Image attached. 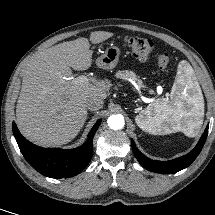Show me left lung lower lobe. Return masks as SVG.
Segmentation results:
<instances>
[{"instance_id": "obj_1", "label": "left lung lower lobe", "mask_w": 215, "mask_h": 215, "mask_svg": "<svg viewBox=\"0 0 215 215\" xmlns=\"http://www.w3.org/2000/svg\"><path fill=\"white\" fill-rule=\"evenodd\" d=\"M208 127L209 126H207L196 147L191 152L170 161L151 160L137 149L134 141L131 139L132 149L135 157L145 169L161 174H173L188 167L199 155L207 138Z\"/></svg>"}]
</instances>
